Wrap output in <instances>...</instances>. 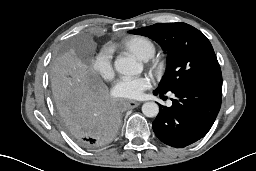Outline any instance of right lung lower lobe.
<instances>
[{
  "instance_id": "1",
  "label": "right lung lower lobe",
  "mask_w": 256,
  "mask_h": 171,
  "mask_svg": "<svg viewBox=\"0 0 256 171\" xmlns=\"http://www.w3.org/2000/svg\"><path fill=\"white\" fill-rule=\"evenodd\" d=\"M67 131L85 148L109 144L116 137L121 115L103 84L84 87L56 105Z\"/></svg>"
}]
</instances>
